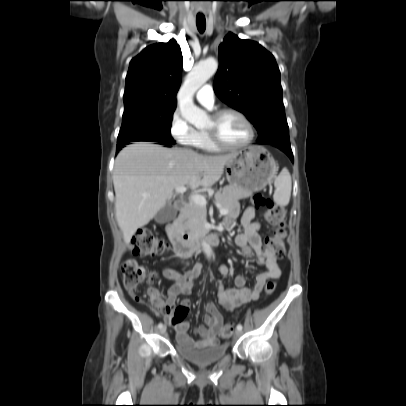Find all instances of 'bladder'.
<instances>
[{
    "label": "bladder",
    "instance_id": "1",
    "mask_svg": "<svg viewBox=\"0 0 406 406\" xmlns=\"http://www.w3.org/2000/svg\"><path fill=\"white\" fill-rule=\"evenodd\" d=\"M176 351L181 357L190 362L207 365L224 358L228 352V345L187 346L177 341Z\"/></svg>",
    "mask_w": 406,
    "mask_h": 406
}]
</instances>
